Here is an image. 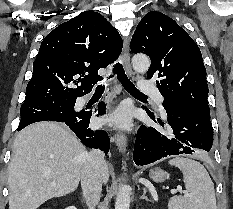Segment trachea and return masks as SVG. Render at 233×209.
Returning <instances> with one entry per match:
<instances>
[{
    "label": "trachea",
    "instance_id": "1",
    "mask_svg": "<svg viewBox=\"0 0 233 209\" xmlns=\"http://www.w3.org/2000/svg\"><path fill=\"white\" fill-rule=\"evenodd\" d=\"M113 75L109 76V79L112 78L114 75H117L118 80L121 82L123 87L129 92L130 94L139 95V96H145L142 92H140L135 85L130 81V79L125 74V71L123 69V66L121 63H116L113 67ZM104 85H98L96 90H104Z\"/></svg>",
    "mask_w": 233,
    "mask_h": 209
}]
</instances>
